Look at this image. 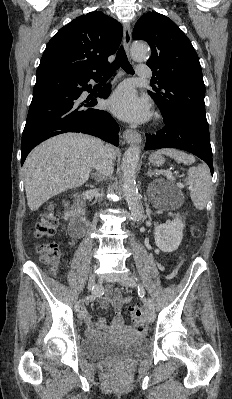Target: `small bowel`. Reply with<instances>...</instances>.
I'll return each mask as SVG.
<instances>
[{"label":"small bowel","instance_id":"obj_1","mask_svg":"<svg viewBox=\"0 0 232 399\" xmlns=\"http://www.w3.org/2000/svg\"><path fill=\"white\" fill-rule=\"evenodd\" d=\"M112 296L115 297V320L108 323L103 316H99L95 321H92L91 315L85 306L79 307V312L84 317L86 322L81 326L87 335V341L90 344H95L99 337L112 338L116 333H128L131 327L122 321V306L127 301L121 296L118 289L109 286L107 288V296L102 298L100 306L107 308L111 302Z\"/></svg>","mask_w":232,"mask_h":399}]
</instances>
